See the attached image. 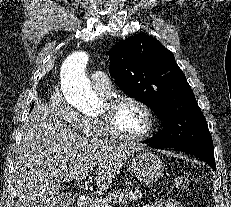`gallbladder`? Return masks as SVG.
Instances as JSON below:
<instances>
[{"label":"gallbladder","mask_w":231,"mask_h":207,"mask_svg":"<svg viewBox=\"0 0 231 207\" xmlns=\"http://www.w3.org/2000/svg\"><path fill=\"white\" fill-rule=\"evenodd\" d=\"M75 195L72 193H62L57 207H68L75 202Z\"/></svg>","instance_id":"obj_1"}]
</instances>
